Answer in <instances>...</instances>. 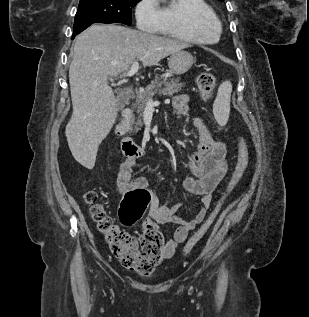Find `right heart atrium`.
<instances>
[{"instance_id":"1","label":"right heart atrium","mask_w":309,"mask_h":317,"mask_svg":"<svg viewBox=\"0 0 309 317\" xmlns=\"http://www.w3.org/2000/svg\"><path fill=\"white\" fill-rule=\"evenodd\" d=\"M135 18L141 30L152 32L161 24L158 0H139L135 5Z\"/></svg>"}]
</instances>
